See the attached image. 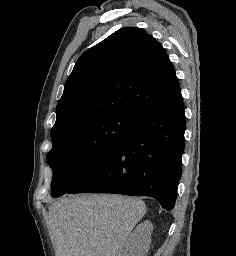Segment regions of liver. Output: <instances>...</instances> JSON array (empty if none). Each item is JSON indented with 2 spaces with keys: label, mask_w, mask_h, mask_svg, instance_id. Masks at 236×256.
<instances>
[{
  "label": "liver",
  "mask_w": 236,
  "mask_h": 256,
  "mask_svg": "<svg viewBox=\"0 0 236 256\" xmlns=\"http://www.w3.org/2000/svg\"><path fill=\"white\" fill-rule=\"evenodd\" d=\"M146 214L141 198L78 194L49 206L56 256H127L126 242Z\"/></svg>",
  "instance_id": "1"
}]
</instances>
